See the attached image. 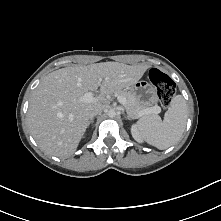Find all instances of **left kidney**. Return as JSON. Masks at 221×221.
<instances>
[{"label":"left kidney","instance_id":"5707ae66","mask_svg":"<svg viewBox=\"0 0 221 221\" xmlns=\"http://www.w3.org/2000/svg\"><path fill=\"white\" fill-rule=\"evenodd\" d=\"M131 134H132L133 138H134L137 142H139V143H142V142H143V139H142V137H141V135H140V133H139V130H138L136 124H133V125L131 126Z\"/></svg>","mask_w":221,"mask_h":221}]
</instances>
